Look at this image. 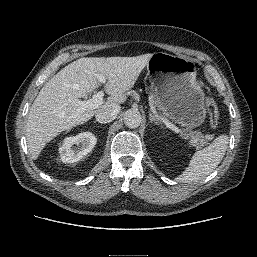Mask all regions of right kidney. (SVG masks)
Masks as SVG:
<instances>
[{"mask_svg":"<svg viewBox=\"0 0 257 257\" xmlns=\"http://www.w3.org/2000/svg\"><path fill=\"white\" fill-rule=\"evenodd\" d=\"M97 143V138L90 132H82L67 137L59 148L60 159L64 163H74L86 156Z\"/></svg>","mask_w":257,"mask_h":257,"instance_id":"ca27d5eb","label":"right kidney"}]
</instances>
